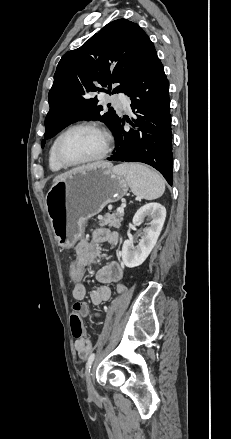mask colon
<instances>
[{"mask_svg": "<svg viewBox=\"0 0 231 439\" xmlns=\"http://www.w3.org/2000/svg\"><path fill=\"white\" fill-rule=\"evenodd\" d=\"M69 273L71 276V282H72V289L74 291V285L75 283H86V280L84 279L86 268L85 265L82 264L81 258H76L72 260L71 266L69 268ZM70 328L71 333L73 337L79 339L84 338L85 336V329L84 325L81 319L80 314L77 310H74L72 314L70 315Z\"/></svg>", "mask_w": 231, "mask_h": 439, "instance_id": "5ec220e1", "label": "colon"}]
</instances>
